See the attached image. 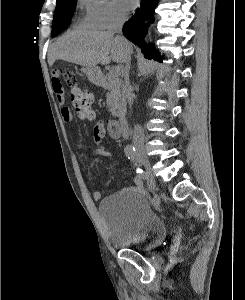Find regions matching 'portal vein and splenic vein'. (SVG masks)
<instances>
[{"label":"portal vein and splenic vein","mask_w":245,"mask_h":300,"mask_svg":"<svg viewBox=\"0 0 245 300\" xmlns=\"http://www.w3.org/2000/svg\"><path fill=\"white\" fill-rule=\"evenodd\" d=\"M111 72L112 73H118L119 72V68L115 67V68L111 69Z\"/></svg>","instance_id":"portal-vein-and-splenic-vein-1"}]
</instances>
